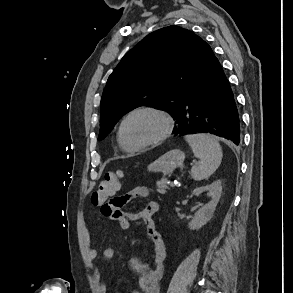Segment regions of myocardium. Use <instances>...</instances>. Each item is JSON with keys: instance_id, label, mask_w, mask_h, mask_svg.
I'll list each match as a JSON object with an SVG mask.
<instances>
[{"instance_id": "f54148a6", "label": "myocardium", "mask_w": 293, "mask_h": 293, "mask_svg": "<svg viewBox=\"0 0 293 293\" xmlns=\"http://www.w3.org/2000/svg\"><path fill=\"white\" fill-rule=\"evenodd\" d=\"M143 112L151 113V114L158 116L163 122V129H162L161 133L156 138H154L148 142L142 143V144L132 145L127 141V139L125 137L124 127H125L126 122L133 115L138 114V113H143ZM173 128H174V122L168 113H166L165 111H163L159 108H156V107L141 106V107H137V108L131 110L129 113L126 114V116L122 119V121L120 123L118 132H119L120 140L126 149H128L130 151H138V150H142V149L160 144L161 142L166 140L171 135Z\"/></svg>"}]
</instances>
